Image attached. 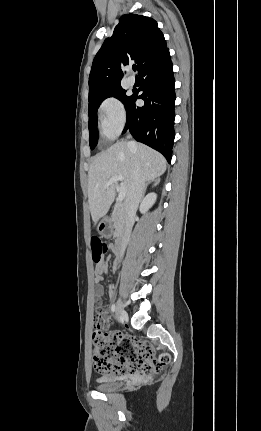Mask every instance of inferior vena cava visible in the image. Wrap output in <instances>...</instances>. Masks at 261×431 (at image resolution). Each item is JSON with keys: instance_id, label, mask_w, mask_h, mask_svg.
<instances>
[{"instance_id": "inferior-vena-cava-1", "label": "inferior vena cava", "mask_w": 261, "mask_h": 431, "mask_svg": "<svg viewBox=\"0 0 261 431\" xmlns=\"http://www.w3.org/2000/svg\"><path fill=\"white\" fill-rule=\"evenodd\" d=\"M130 137H131L130 135L127 136V138H130ZM144 187H145L144 179L141 176L139 169L136 167L134 171L133 182L127 193L125 204H124L125 230H124L123 237L121 239L122 253L124 252L127 246V243L129 241L133 223H134V217L136 215L138 205L141 202L143 197Z\"/></svg>"}]
</instances>
